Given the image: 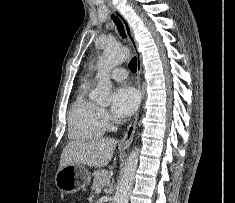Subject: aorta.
Returning <instances> with one entry per match:
<instances>
[{"label":"aorta","mask_w":235,"mask_h":203,"mask_svg":"<svg viewBox=\"0 0 235 203\" xmlns=\"http://www.w3.org/2000/svg\"><path fill=\"white\" fill-rule=\"evenodd\" d=\"M130 56L127 47L118 43L108 44L100 57L97 66L98 85L92 94V99L100 105H108L110 102L111 80L109 72L117 65L122 64ZM139 150L135 148L129 155L126 162L124 174L118 185L114 197V203H128L133 187L134 177L137 170Z\"/></svg>","instance_id":"762f6f07"}]
</instances>
